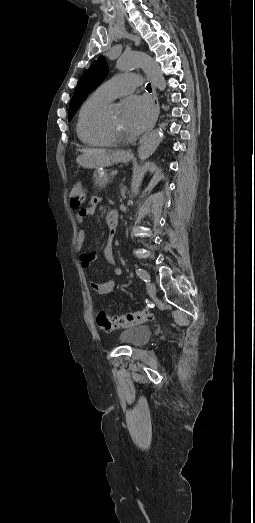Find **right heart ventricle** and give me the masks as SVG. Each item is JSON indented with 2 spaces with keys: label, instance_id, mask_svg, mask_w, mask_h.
Returning a JSON list of instances; mask_svg holds the SVG:
<instances>
[{
  "label": "right heart ventricle",
  "instance_id": "obj_1",
  "mask_svg": "<svg viewBox=\"0 0 255 523\" xmlns=\"http://www.w3.org/2000/svg\"><path fill=\"white\" fill-rule=\"evenodd\" d=\"M112 99L104 95L99 88L89 95L80 107L77 120L79 139L91 146H107L113 141L104 135L96 126L101 112Z\"/></svg>",
  "mask_w": 255,
  "mask_h": 523
}]
</instances>
